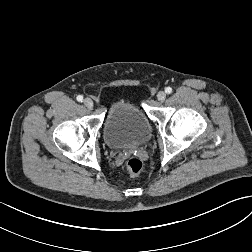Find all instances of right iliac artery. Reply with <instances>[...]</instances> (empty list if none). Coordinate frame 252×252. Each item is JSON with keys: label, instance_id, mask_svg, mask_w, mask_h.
I'll return each mask as SVG.
<instances>
[{"label": "right iliac artery", "instance_id": "82829eb1", "mask_svg": "<svg viewBox=\"0 0 252 252\" xmlns=\"http://www.w3.org/2000/svg\"><path fill=\"white\" fill-rule=\"evenodd\" d=\"M76 99H77L78 102H82L83 101V96L82 95H78Z\"/></svg>", "mask_w": 252, "mask_h": 252}]
</instances>
